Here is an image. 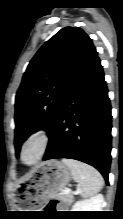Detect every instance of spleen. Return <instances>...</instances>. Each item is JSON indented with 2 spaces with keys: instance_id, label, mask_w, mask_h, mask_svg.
<instances>
[{
  "instance_id": "3e777b00",
  "label": "spleen",
  "mask_w": 123,
  "mask_h": 219,
  "mask_svg": "<svg viewBox=\"0 0 123 219\" xmlns=\"http://www.w3.org/2000/svg\"><path fill=\"white\" fill-rule=\"evenodd\" d=\"M62 162L70 169L73 179L80 184L83 198L91 197L102 189L104 180L95 168L73 159L64 158Z\"/></svg>"
}]
</instances>
